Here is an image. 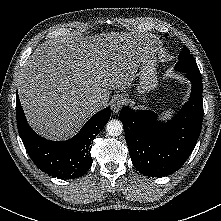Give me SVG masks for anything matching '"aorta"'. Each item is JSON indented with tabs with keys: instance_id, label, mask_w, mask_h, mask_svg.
<instances>
[{
	"instance_id": "1",
	"label": "aorta",
	"mask_w": 221,
	"mask_h": 221,
	"mask_svg": "<svg viewBox=\"0 0 221 221\" xmlns=\"http://www.w3.org/2000/svg\"><path fill=\"white\" fill-rule=\"evenodd\" d=\"M106 132L110 136H119L123 132V125L119 120H110L106 125Z\"/></svg>"
}]
</instances>
